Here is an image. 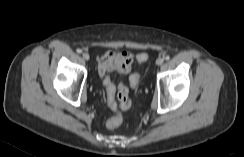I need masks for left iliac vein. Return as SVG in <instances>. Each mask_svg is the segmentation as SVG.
<instances>
[{"mask_svg":"<svg viewBox=\"0 0 244 157\" xmlns=\"http://www.w3.org/2000/svg\"><path fill=\"white\" fill-rule=\"evenodd\" d=\"M163 62H164V59L163 58H158L157 60H156V64L157 65H162L163 64Z\"/></svg>","mask_w":244,"mask_h":157,"instance_id":"4c4485c4","label":"left iliac vein"}]
</instances>
